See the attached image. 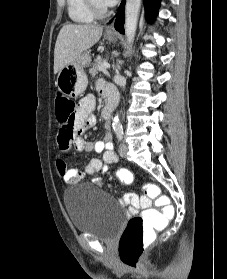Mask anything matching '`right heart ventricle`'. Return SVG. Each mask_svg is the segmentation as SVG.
<instances>
[{"mask_svg": "<svg viewBox=\"0 0 227 279\" xmlns=\"http://www.w3.org/2000/svg\"><path fill=\"white\" fill-rule=\"evenodd\" d=\"M67 8L70 19L76 23L88 24L94 20L84 0H67Z\"/></svg>", "mask_w": 227, "mask_h": 279, "instance_id": "obj_1", "label": "right heart ventricle"}]
</instances>
